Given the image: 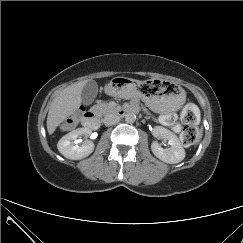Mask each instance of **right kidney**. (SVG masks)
<instances>
[{
	"mask_svg": "<svg viewBox=\"0 0 243 243\" xmlns=\"http://www.w3.org/2000/svg\"><path fill=\"white\" fill-rule=\"evenodd\" d=\"M90 134L91 130L88 128H78L73 130L59 140L57 148L59 152L68 159H83L93 152L94 143L90 140H85L82 144H79L80 141L78 138L80 136L87 137Z\"/></svg>",
	"mask_w": 243,
	"mask_h": 243,
	"instance_id": "ca27d5eb",
	"label": "right kidney"
}]
</instances>
